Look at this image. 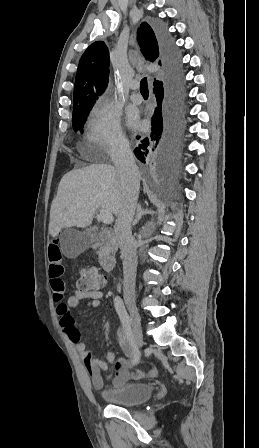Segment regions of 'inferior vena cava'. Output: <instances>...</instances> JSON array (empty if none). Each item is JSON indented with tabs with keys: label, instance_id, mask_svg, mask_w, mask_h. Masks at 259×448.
Listing matches in <instances>:
<instances>
[{
	"label": "inferior vena cava",
	"instance_id": "inferior-vena-cava-1",
	"mask_svg": "<svg viewBox=\"0 0 259 448\" xmlns=\"http://www.w3.org/2000/svg\"><path fill=\"white\" fill-rule=\"evenodd\" d=\"M112 162L120 180L122 200L121 210L115 224V234L124 272V300L134 302L137 254L135 240L131 234L140 188V174L131 152L130 144L125 138L118 140L113 150Z\"/></svg>",
	"mask_w": 259,
	"mask_h": 448
}]
</instances>
